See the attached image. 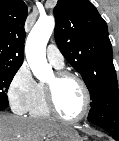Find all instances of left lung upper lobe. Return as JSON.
Wrapping results in <instances>:
<instances>
[{"label": "left lung upper lobe", "mask_w": 119, "mask_h": 141, "mask_svg": "<svg viewBox=\"0 0 119 141\" xmlns=\"http://www.w3.org/2000/svg\"><path fill=\"white\" fill-rule=\"evenodd\" d=\"M55 41L82 76L91 106L119 94L107 24L88 0H58L54 8Z\"/></svg>", "instance_id": "obj_1"}]
</instances>
